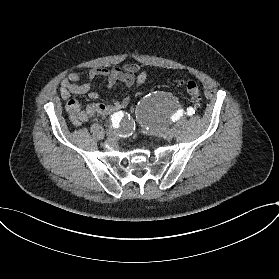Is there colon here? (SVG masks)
Here are the masks:
<instances>
[{
    "label": "colon",
    "instance_id": "5ec220e1",
    "mask_svg": "<svg viewBox=\"0 0 279 279\" xmlns=\"http://www.w3.org/2000/svg\"><path fill=\"white\" fill-rule=\"evenodd\" d=\"M184 85L191 99L199 105L201 101V90L197 82L193 80H186L184 81Z\"/></svg>",
    "mask_w": 279,
    "mask_h": 279
}]
</instances>
